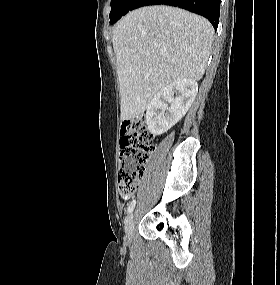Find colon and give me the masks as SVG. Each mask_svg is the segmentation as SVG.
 I'll use <instances>...</instances> for the list:
<instances>
[{
  "label": "colon",
  "instance_id": "colon-1",
  "mask_svg": "<svg viewBox=\"0 0 280 285\" xmlns=\"http://www.w3.org/2000/svg\"><path fill=\"white\" fill-rule=\"evenodd\" d=\"M153 149V135L144 116H136L121 125L118 190L122 198L135 193L145 172L148 154Z\"/></svg>",
  "mask_w": 280,
  "mask_h": 285
}]
</instances>
